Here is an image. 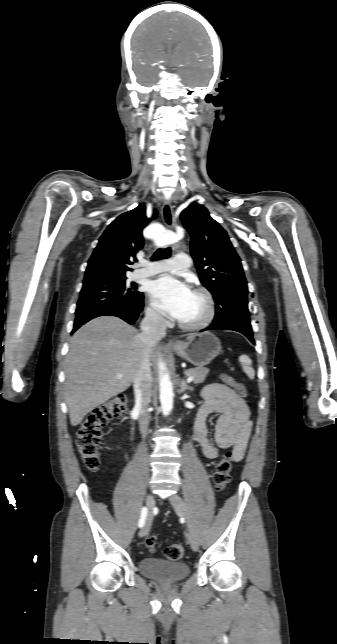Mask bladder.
<instances>
[{
	"instance_id": "obj_1",
	"label": "bladder",
	"mask_w": 337,
	"mask_h": 644,
	"mask_svg": "<svg viewBox=\"0 0 337 644\" xmlns=\"http://www.w3.org/2000/svg\"><path fill=\"white\" fill-rule=\"evenodd\" d=\"M139 571L150 579L175 583L185 579L190 573V568L184 562L144 557L139 561Z\"/></svg>"
}]
</instances>
